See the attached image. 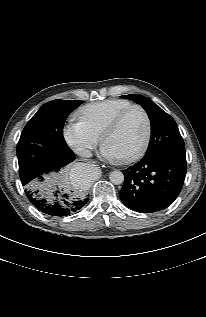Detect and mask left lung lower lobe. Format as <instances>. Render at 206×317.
<instances>
[{
	"label": "left lung lower lobe",
	"mask_w": 206,
	"mask_h": 317,
	"mask_svg": "<svg viewBox=\"0 0 206 317\" xmlns=\"http://www.w3.org/2000/svg\"><path fill=\"white\" fill-rule=\"evenodd\" d=\"M186 170L185 156L170 153L144 156L135 165L122 170L125 182L120 199L137 212L163 210L179 195Z\"/></svg>",
	"instance_id": "1"
}]
</instances>
